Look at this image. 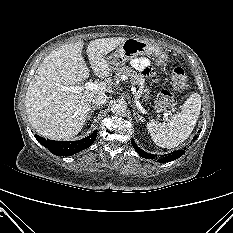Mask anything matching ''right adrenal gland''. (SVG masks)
I'll return each instance as SVG.
<instances>
[{
	"mask_svg": "<svg viewBox=\"0 0 233 233\" xmlns=\"http://www.w3.org/2000/svg\"><path fill=\"white\" fill-rule=\"evenodd\" d=\"M96 109H100V107L99 106L90 107L89 112H88V116H87V120H89L91 118V115H92L93 111L96 110Z\"/></svg>",
	"mask_w": 233,
	"mask_h": 233,
	"instance_id": "1",
	"label": "right adrenal gland"
}]
</instances>
